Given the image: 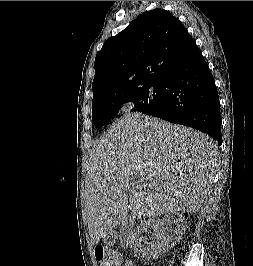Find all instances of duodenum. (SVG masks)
<instances>
[{
    "instance_id": "1",
    "label": "duodenum",
    "mask_w": 253,
    "mask_h": 266,
    "mask_svg": "<svg viewBox=\"0 0 253 266\" xmlns=\"http://www.w3.org/2000/svg\"><path fill=\"white\" fill-rule=\"evenodd\" d=\"M130 231H131V228L128 226V227L126 228V230H125V232H126V237L123 238L124 241H128V240H129V237H130ZM109 240H111V237H109Z\"/></svg>"
}]
</instances>
